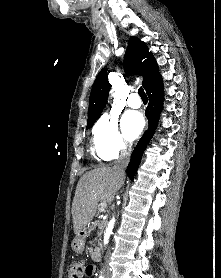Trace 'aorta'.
I'll list each match as a JSON object with an SVG mask.
<instances>
[{"label": "aorta", "instance_id": "aorta-1", "mask_svg": "<svg viewBox=\"0 0 221 278\" xmlns=\"http://www.w3.org/2000/svg\"><path fill=\"white\" fill-rule=\"evenodd\" d=\"M114 223H115L114 218H112L108 223V226H107L106 231L104 233V244H107L108 241H109L110 235L112 234V230H113V227H114Z\"/></svg>", "mask_w": 221, "mask_h": 278}]
</instances>
